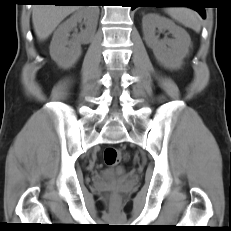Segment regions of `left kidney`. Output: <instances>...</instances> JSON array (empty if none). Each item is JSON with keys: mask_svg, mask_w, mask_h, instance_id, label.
<instances>
[{"mask_svg": "<svg viewBox=\"0 0 231 231\" xmlns=\"http://www.w3.org/2000/svg\"><path fill=\"white\" fill-rule=\"evenodd\" d=\"M142 26L145 42L153 50L157 61L168 69L180 68L191 45L186 30L170 19L152 13L143 17ZM156 28L168 30L174 38L159 40L155 34Z\"/></svg>", "mask_w": 231, "mask_h": 231, "instance_id": "1", "label": "left kidney"}]
</instances>
